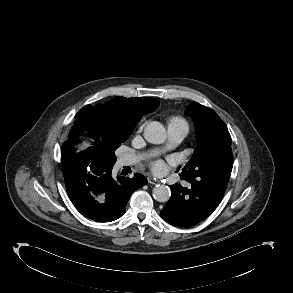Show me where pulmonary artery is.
I'll list each match as a JSON object with an SVG mask.
<instances>
[{"instance_id": "obj_1", "label": "pulmonary artery", "mask_w": 293, "mask_h": 293, "mask_svg": "<svg viewBox=\"0 0 293 293\" xmlns=\"http://www.w3.org/2000/svg\"><path fill=\"white\" fill-rule=\"evenodd\" d=\"M188 130L181 126L170 125L168 126L169 147H173L182 142L186 137ZM143 158V155H125L121 158V165H132L137 163Z\"/></svg>"}]
</instances>
